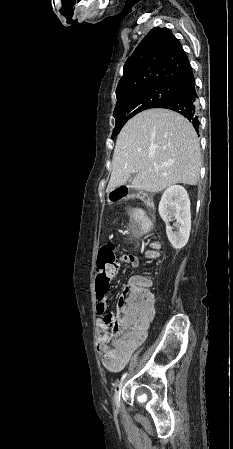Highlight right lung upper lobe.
<instances>
[{
	"mask_svg": "<svg viewBox=\"0 0 233 449\" xmlns=\"http://www.w3.org/2000/svg\"><path fill=\"white\" fill-rule=\"evenodd\" d=\"M193 77L189 59L168 28H153L124 65L116 97L154 85L177 86Z\"/></svg>",
	"mask_w": 233,
	"mask_h": 449,
	"instance_id": "obj_1",
	"label": "right lung upper lobe"
}]
</instances>
